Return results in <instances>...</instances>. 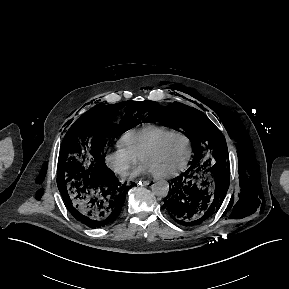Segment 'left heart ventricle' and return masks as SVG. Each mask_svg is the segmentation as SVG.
Here are the masks:
<instances>
[{
  "instance_id": "b2bd125f",
  "label": "left heart ventricle",
  "mask_w": 289,
  "mask_h": 289,
  "mask_svg": "<svg viewBox=\"0 0 289 289\" xmlns=\"http://www.w3.org/2000/svg\"><path fill=\"white\" fill-rule=\"evenodd\" d=\"M188 154L187 142L181 137L167 140L153 154L147 156L143 163L147 164L152 173H167L178 169Z\"/></svg>"
}]
</instances>
